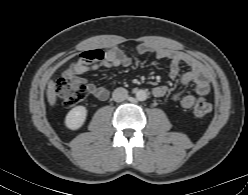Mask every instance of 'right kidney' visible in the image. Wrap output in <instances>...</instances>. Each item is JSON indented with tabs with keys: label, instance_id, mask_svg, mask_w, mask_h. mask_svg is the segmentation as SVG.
Listing matches in <instances>:
<instances>
[{
	"label": "right kidney",
	"instance_id": "right-kidney-1",
	"mask_svg": "<svg viewBox=\"0 0 248 195\" xmlns=\"http://www.w3.org/2000/svg\"><path fill=\"white\" fill-rule=\"evenodd\" d=\"M86 117L87 109L84 106L74 107L68 112L65 125L71 130H77L84 124Z\"/></svg>",
	"mask_w": 248,
	"mask_h": 195
}]
</instances>
